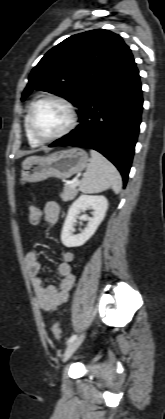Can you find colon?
Returning a JSON list of instances; mask_svg holds the SVG:
<instances>
[{
  "instance_id": "colon-1",
  "label": "colon",
  "mask_w": 165,
  "mask_h": 419,
  "mask_svg": "<svg viewBox=\"0 0 165 419\" xmlns=\"http://www.w3.org/2000/svg\"><path fill=\"white\" fill-rule=\"evenodd\" d=\"M41 218V211L39 207L33 205L29 208V220L33 225L39 223ZM52 333L57 340L61 339V329L58 322H54L52 325Z\"/></svg>"
}]
</instances>
